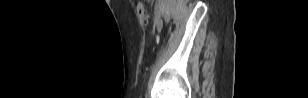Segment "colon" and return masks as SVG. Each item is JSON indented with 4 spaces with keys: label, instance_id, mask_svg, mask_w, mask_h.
Listing matches in <instances>:
<instances>
[{
    "label": "colon",
    "instance_id": "colon-1",
    "mask_svg": "<svg viewBox=\"0 0 308 98\" xmlns=\"http://www.w3.org/2000/svg\"><path fill=\"white\" fill-rule=\"evenodd\" d=\"M137 12L140 17V20L143 24H147L149 21V15L147 14L145 10V6L143 2H138L137 4Z\"/></svg>",
    "mask_w": 308,
    "mask_h": 98
}]
</instances>
